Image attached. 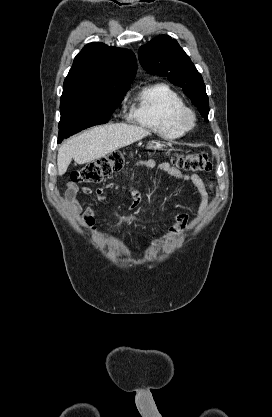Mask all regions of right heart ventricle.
I'll return each instance as SVG.
<instances>
[{
  "mask_svg": "<svg viewBox=\"0 0 272 417\" xmlns=\"http://www.w3.org/2000/svg\"><path fill=\"white\" fill-rule=\"evenodd\" d=\"M185 107L184 100L173 88L158 82L138 92L129 119L164 138L175 139L185 133L176 119Z\"/></svg>",
  "mask_w": 272,
  "mask_h": 417,
  "instance_id": "right-heart-ventricle-1",
  "label": "right heart ventricle"
}]
</instances>
